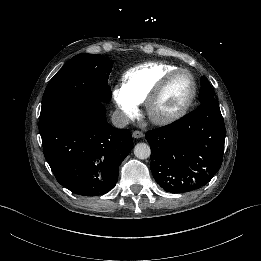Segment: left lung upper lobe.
<instances>
[{
    "mask_svg": "<svg viewBox=\"0 0 261 261\" xmlns=\"http://www.w3.org/2000/svg\"><path fill=\"white\" fill-rule=\"evenodd\" d=\"M214 94H215L214 90L210 86L207 79L203 76L201 78V89H200V94H199V101L204 102L209 99H213Z\"/></svg>",
    "mask_w": 261,
    "mask_h": 261,
    "instance_id": "obj_1",
    "label": "left lung upper lobe"
}]
</instances>
